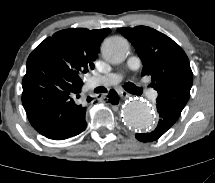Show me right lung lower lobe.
<instances>
[{
  "label": "right lung lower lobe",
  "mask_w": 215,
  "mask_h": 183,
  "mask_svg": "<svg viewBox=\"0 0 215 183\" xmlns=\"http://www.w3.org/2000/svg\"><path fill=\"white\" fill-rule=\"evenodd\" d=\"M22 87V103L27 117L40 134L63 140L85 130L86 108L81 101L83 82L72 79L64 68L47 70L40 57L31 54ZM91 100L87 97V102ZM108 100L118 104V94L111 90Z\"/></svg>",
  "instance_id": "98d812e1"
}]
</instances>
